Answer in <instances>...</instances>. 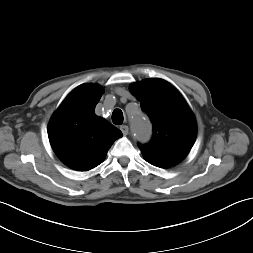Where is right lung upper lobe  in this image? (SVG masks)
Masks as SVG:
<instances>
[{
	"label": "right lung upper lobe",
	"instance_id": "1",
	"mask_svg": "<svg viewBox=\"0 0 253 253\" xmlns=\"http://www.w3.org/2000/svg\"><path fill=\"white\" fill-rule=\"evenodd\" d=\"M104 90L95 84L75 88L53 114L48 127L51 146L68 167L87 171L99 165L119 129L96 116L94 109Z\"/></svg>",
	"mask_w": 253,
	"mask_h": 253
}]
</instances>
